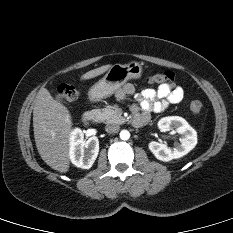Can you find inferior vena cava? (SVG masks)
<instances>
[{
  "mask_svg": "<svg viewBox=\"0 0 233 233\" xmlns=\"http://www.w3.org/2000/svg\"><path fill=\"white\" fill-rule=\"evenodd\" d=\"M120 129L119 125L117 124H107L105 127L106 132L108 133H116Z\"/></svg>",
  "mask_w": 233,
  "mask_h": 233,
  "instance_id": "602c4592",
  "label": "inferior vena cava"
}]
</instances>
